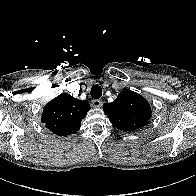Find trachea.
<instances>
[{"instance_id": "obj_1", "label": "trachea", "mask_w": 196, "mask_h": 196, "mask_svg": "<svg viewBox=\"0 0 196 196\" xmlns=\"http://www.w3.org/2000/svg\"><path fill=\"white\" fill-rule=\"evenodd\" d=\"M91 97L99 99L102 96V88L99 85H94L90 91Z\"/></svg>"}]
</instances>
